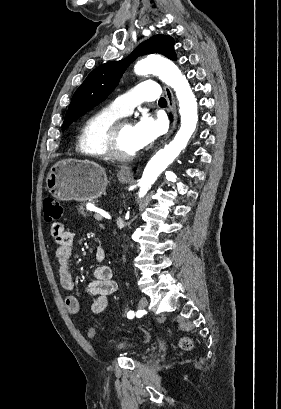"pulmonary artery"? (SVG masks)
Segmentation results:
<instances>
[{
  "label": "pulmonary artery",
  "instance_id": "pulmonary-artery-1",
  "mask_svg": "<svg viewBox=\"0 0 281 409\" xmlns=\"http://www.w3.org/2000/svg\"><path fill=\"white\" fill-rule=\"evenodd\" d=\"M159 88L155 81H138L133 90H125L123 97H114L111 108L119 115H126L133 108L142 103L155 101Z\"/></svg>",
  "mask_w": 281,
  "mask_h": 409
}]
</instances>
